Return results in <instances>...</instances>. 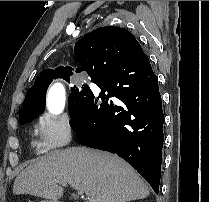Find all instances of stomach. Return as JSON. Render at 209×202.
<instances>
[{"label": "stomach", "mask_w": 209, "mask_h": 202, "mask_svg": "<svg viewBox=\"0 0 209 202\" xmlns=\"http://www.w3.org/2000/svg\"><path fill=\"white\" fill-rule=\"evenodd\" d=\"M38 202H56V201H53V200H50V201H48V200H41V201H38Z\"/></svg>", "instance_id": "obj_1"}]
</instances>
